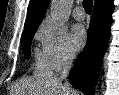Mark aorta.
<instances>
[{
  "label": "aorta",
  "mask_w": 119,
  "mask_h": 95,
  "mask_svg": "<svg viewBox=\"0 0 119 95\" xmlns=\"http://www.w3.org/2000/svg\"><path fill=\"white\" fill-rule=\"evenodd\" d=\"M73 0H52L50 14L51 18L58 25L68 21Z\"/></svg>",
  "instance_id": "1"
}]
</instances>
